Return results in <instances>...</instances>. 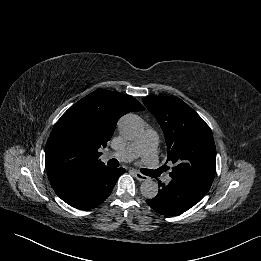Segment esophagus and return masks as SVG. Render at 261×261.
<instances>
[{"instance_id":"esophagus-1","label":"esophagus","mask_w":261,"mask_h":261,"mask_svg":"<svg viewBox=\"0 0 261 261\" xmlns=\"http://www.w3.org/2000/svg\"><path fill=\"white\" fill-rule=\"evenodd\" d=\"M134 176L139 180V181H145L148 179V177L146 175H143L140 172L135 171L134 172Z\"/></svg>"}]
</instances>
